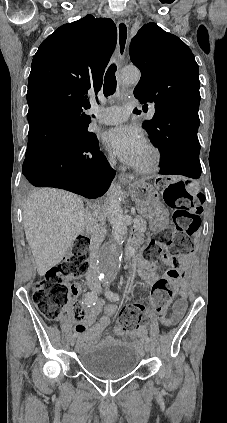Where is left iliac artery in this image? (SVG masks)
<instances>
[{"label":"left iliac artery","instance_id":"44dca946","mask_svg":"<svg viewBox=\"0 0 227 423\" xmlns=\"http://www.w3.org/2000/svg\"><path fill=\"white\" fill-rule=\"evenodd\" d=\"M108 283L106 284V290H105V296L110 300V301H118L119 300V295L117 293L112 292L109 288H108ZM145 341L146 343H150V339L148 336H145Z\"/></svg>","mask_w":227,"mask_h":423}]
</instances>
